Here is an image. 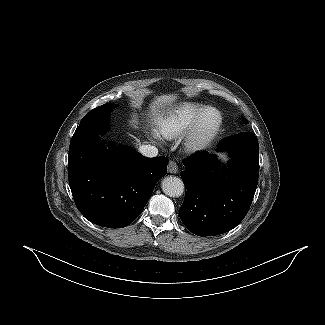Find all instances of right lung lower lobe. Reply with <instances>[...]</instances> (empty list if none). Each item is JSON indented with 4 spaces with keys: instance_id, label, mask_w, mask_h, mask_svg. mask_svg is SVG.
<instances>
[{
    "instance_id": "98d812e1",
    "label": "right lung lower lobe",
    "mask_w": 325,
    "mask_h": 325,
    "mask_svg": "<svg viewBox=\"0 0 325 325\" xmlns=\"http://www.w3.org/2000/svg\"><path fill=\"white\" fill-rule=\"evenodd\" d=\"M100 135L74 133L69 147V184L75 204L90 222L122 228L143 211L168 158H145L131 147L100 142Z\"/></svg>"
}]
</instances>
